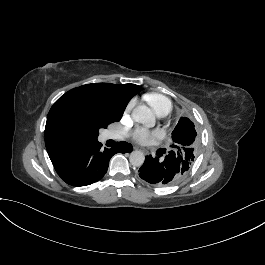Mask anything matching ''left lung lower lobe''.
<instances>
[{
  "mask_svg": "<svg viewBox=\"0 0 265 265\" xmlns=\"http://www.w3.org/2000/svg\"><path fill=\"white\" fill-rule=\"evenodd\" d=\"M159 150L158 157H145L144 164L138 171L140 178L155 186H168L178 182L185 176L181 157L169 150L164 158H160L162 154Z\"/></svg>",
  "mask_w": 265,
  "mask_h": 265,
  "instance_id": "left-lung-lower-lobe-1",
  "label": "left lung lower lobe"
}]
</instances>
